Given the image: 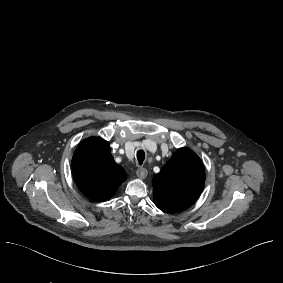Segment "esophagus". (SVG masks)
Returning a JSON list of instances; mask_svg holds the SVG:
<instances>
[{"label": "esophagus", "mask_w": 283, "mask_h": 283, "mask_svg": "<svg viewBox=\"0 0 283 283\" xmlns=\"http://www.w3.org/2000/svg\"><path fill=\"white\" fill-rule=\"evenodd\" d=\"M136 175H137L138 178L144 179L148 175V171L145 168L141 167V168L137 169Z\"/></svg>", "instance_id": "1"}]
</instances>
